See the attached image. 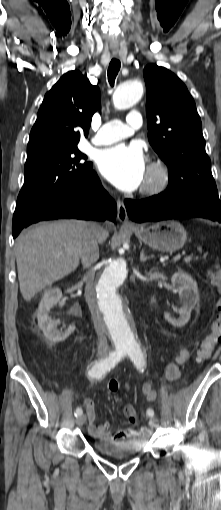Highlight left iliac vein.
Returning a JSON list of instances; mask_svg holds the SVG:
<instances>
[{"instance_id":"4c4485c4","label":"left iliac vein","mask_w":221,"mask_h":510,"mask_svg":"<svg viewBox=\"0 0 221 510\" xmlns=\"http://www.w3.org/2000/svg\"><path fill=\"white\" fill-rule=\"evenodd\" d=\"M149 425L151 428H154V429L158 428V425H159L158 419L155 417H151L149 419Z\"/></svg>"}]
</instances>
